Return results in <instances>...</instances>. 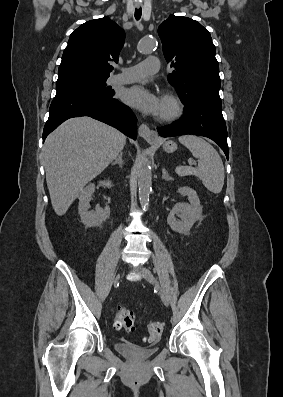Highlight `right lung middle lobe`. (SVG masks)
Returning <instances> with one entry per match:
<instances>
[{
  "label": "right lung middle lobe",
  "mask_w": 283,
  "mask_h": 397,
  "mask_svg": "<svg viewBox=\"0 0 283 397\" xmlns=\"http://www.w3.org/2000/svg\"><path fill=\"white\" fill-rule=\"evenodd\" d=\"M108 77L75 76L57 80L56 95L71 91H87L101 95H114V91L106 85Z\"/></svg>",
  "instance_id": "dd1d6c3e"
}]
</instances>
